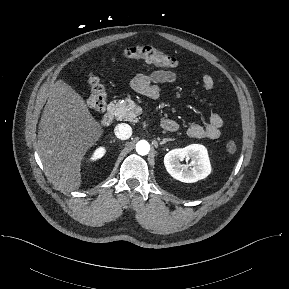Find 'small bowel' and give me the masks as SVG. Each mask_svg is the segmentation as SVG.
Wrapping results in <instances>:
<instances>
[{
	"label": "small bowel",
	"instance_id": "small-bowel-1",
	"mask_svg": "<svg viewBox=\"0 0 289 289\" xmlns=\"http://www.w3.org/2000/svg\"><path fill=\"white\" fill-rule=\"evenodd\" d=\"M180 79L181 76L173 71L156 70L150 74H140L136 76L132 81V87L137 93L156 99L161 94L162 84L174 83ZM201 81L202 86L206 91L212 90L215 85L214 78L210 74H204ZM165 121L175 123L176 128L172 129L169 126L164 125ZM223 125V118L218 114H212L209 117L208 123L205 125L193 123L188 127L187 133L193 138H207L214 140L220 137ZM162 127L169 132H173L177 129V124L171 119H164L162 121Z\"/></svg>",
	"mask_w": 289,
	"mask_h": 289
}]
</instances>
